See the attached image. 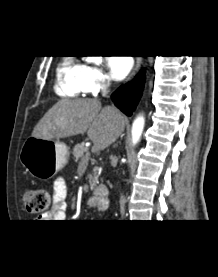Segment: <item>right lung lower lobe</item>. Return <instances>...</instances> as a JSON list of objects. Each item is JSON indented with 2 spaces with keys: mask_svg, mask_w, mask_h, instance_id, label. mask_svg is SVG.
<instances>
[{
  "mask_svg": "<svg viewBox=\"0 0 218 277\" xmlns=\"http://www.w3.org/2000/svg\"><path fill=\"white\" fill-rule=\"evenodd\" d=\"M145 75L144 70L135 77L134 80L128 82L124 87L118 88L113 94L112 99L115 105L126 115H131L142 95L144 87Z\"/></svg>",
  "mask_w": 218,
  "mask_h": 277,
  "instance_id": "obj_1",
  "label": "right lung lower lobe"
}]
</instances>
